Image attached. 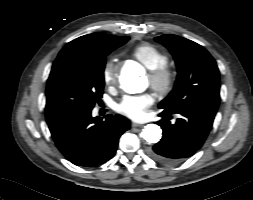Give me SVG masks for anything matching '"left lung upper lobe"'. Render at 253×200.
Returning a JSON list of instances; mask_svg holds the SVG:
<instances>
[{
  "instance_id": "1",
  "label": "left lung upper lobe",
  "mask_w": 253,
  "mask_h": 200,
  "mask_svg": "<svg viewBox=\"0 0 253 200\" xmlns=\"http://www.w3.org/2000/svg\"><path fill=\"white\" fill-rule=\"evenodd\" d=\"M155 40L170 50L178 70L174 89L159 108L171 114L192 110L217 112L220 79L213 57L199 44L177 35L165 34Z\"/></svg>"
}]
</instances>
